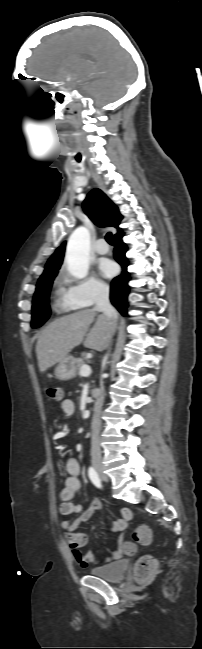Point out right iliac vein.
<instances>
[{
  "mask_svg": "<svg viewBox=\"0 0 202 649\" xmlns=\"http://www.w3.org/2000/svg\"><path fill=\"white\" fill-rule=\"evenodd\" d=\"M93 465H94V468H95V470L97 471V473L101 476V478H102L104 481H108V477H107L106 474L104 473V467H103V465L101 464V462H99V461H94V462H93Z\"/></svg>",
  "mask_w": 202,
  "mask_h": 649,
  "instance_id": "63e3f726",
  "label": "right iliac vein"
}]
</instances>
